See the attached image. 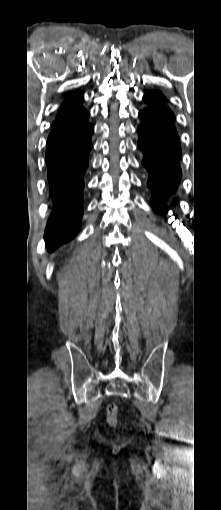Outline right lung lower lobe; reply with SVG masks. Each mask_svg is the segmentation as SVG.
Instances as JSON below:
<instances>
[{
    "label": "right lung lower lobe",
    "mask_w": 221,
    "mask_h": 510,
    "mask_svg": "<svg viewBox=\"0 0 221 510\" xmlns=\"http://www.w3.org/2000/svg\"><path fill=\"white\" fill-rule=\"evenodd\" d=\"M93 131L87 120L73 131L48 137L45 159L53 201L45 231L49 252L69 242L79 230L83 177L88 167Z\"/></svg>",
    "instance_id": "obj_1"
}]
</instances>
